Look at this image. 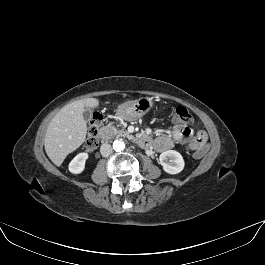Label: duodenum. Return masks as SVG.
I'll return each instance as SVG.
<instances>
[{"label": "duodenum", "mask_w": 265, "mask_h": 265, "mask_svg": "<svg viewBox=\"0 0 265 265\" xmlns=\"http://www.w3.org/2000/svg\"><path fill=\"white\" fill-rule=\"evenodd\" d=\"M111 134H112V130L108 126L102 127L99 131V135L102 140H107ZM136 140L138 144L141 146L147 147L150 145V136L147 134H144V133L140 134L139 136H137Z\"/></svg>", "instance_id": "obj_1"}]
</instances>
